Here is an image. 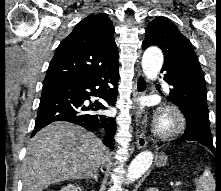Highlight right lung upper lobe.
I'll return each instance as SVG.
<instances>
[{
    "instance_id": "right-lung-upper-lobe-1",
    "label": "right lung upper lobe",
    "mask_w": 221,
    "mask_h": 191,
    "mask_svg": "<svg viewBox=\"0 0 221 191\" xmlns=\"http://www.w3.org/2000/svg\"><path fill=\"white\" fill-rule=\"evenodd\" d=\"M117 68L111 20L105 14L89 15L57 47L43 84L91 79Z\"/></svg>"
}]
</instances>
